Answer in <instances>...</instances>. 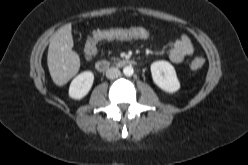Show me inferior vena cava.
<instances>
[{"label": "inferior vena cava", "mask_w": 248, "mask_h": 165, "mask_svg": "<svg viewBox=\"0 0 248 165\" xmlns=\"http://www.w3.org/2000/svg\"><path fill=\"white\" fill-rule=\"evenodd\" d=\"M120 75H121L120 70L118 68H115V67L109 68L106 71V77L108 79H115V78H118Z\"/></svg>", "instance_id": "1"}]
</instances>
